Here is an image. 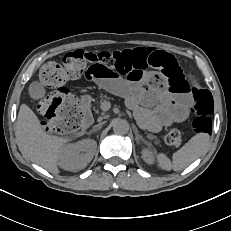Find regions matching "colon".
I'll use <instances>...</instances> for the list:
<instances>
[{"mask_svg":"<svg viewBox=\"0 0 231 231\" xmlns=\"http://www.w3.org/2000/svg\"><path fill=\"white\" fill-rule=\"evenodd\" d=\"M92 65H103L127 76H135L149 69L160 72L167 79L170 91L191 97L194 131L204 133L211 127V93L203 87L190 85L185 71L173 55L152 48H134L102 52L75 50L64 55L62 64L54 61L43 64L40 80L55 90L37 105L46 118L45 128L48 132L62 134L81 126L79 106L64 85L69 79L84 75ZM165 142L170 146H179L182 142L181 130L173 128L168 131Z\"/></svg>","mask_w":231,"mask_h":231,"instance_id":"colon-1","label":"colon"}]
</instances>
